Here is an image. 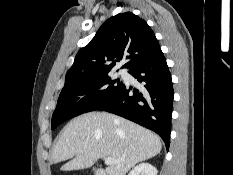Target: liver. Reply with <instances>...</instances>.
<instances>
[{"mask_svg":"<svg viewBox=\"0 0 233 175\" xmlns=\"http://www.w3.org/2000/svg\"><path fill=\"white\" fill-rule=\"evenodd\" d=\"M158 135L125 118L90 112L71 120L63 129L52 154V162L71 159L62 171L91 167L99 158H113L108 175H126L137 163L160 153Z\"/></svg>","mask_w":233,"mask_h":175,"instance_id":"1","label":"liver"}]
</instances>
